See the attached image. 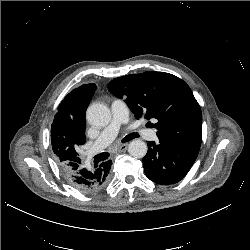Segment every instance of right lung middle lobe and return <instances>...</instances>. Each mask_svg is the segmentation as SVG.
<instances>
[{
	"label": "right lung middle lobe",
	"mask_w": 250,
	"mask_h": 250,
	"mask_svg": "<svg viewBox=\"0 0 250 250\" xmlns=\"http://www.w3.org/2000/svg\"><path fill=\"white\" fill-rule=\"evenodd\" d=\"M78 154L76 152V149L71 148V157H76Z\"/></svg>",
	"instance_id": "right-lung-middle-lobe-1"
}]
</instances>
